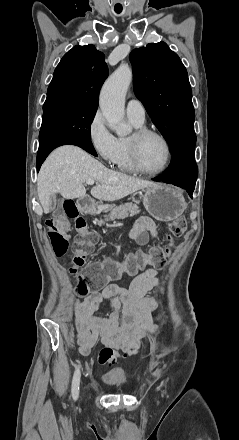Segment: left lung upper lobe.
<instances>
[{"label":"left lung upper lobe","mask_w":239,"mask_h":440,"mask_svg":"<svg viewBox=\"0 0 239 440\" xmlns=\"http://www.w3.org/2000/svg\"><path fill=\"white\" fill-rule=\"evenodd\" d=\"M133 85L171 152L196 140L195 112L186 68L165 42L150 43L130 53Z\"/></svg>","instance_id":"5c2ea615"}]
</instances>
